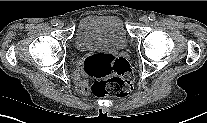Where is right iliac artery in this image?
Wrapping results in <instances>:
<instances>
[{"instance_id":"1","label":"right iliac artery","mask_w":207,"mask_h":123,"mask_svg":"<svg viewBox=\"0 0 207 123\" xmlns=\"http://www.w3.org/2000/svg\"><path fill=\"white\" fill-rule=\"evenodd\" d=\"M52 26H57L58 25V21L56 19L51 21Z\"/></svg>"}]
</instances>
